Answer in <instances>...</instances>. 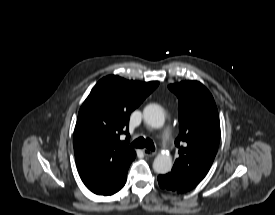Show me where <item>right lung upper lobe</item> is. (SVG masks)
Here are the masks:
<instances>
[{"instance_id": "cb5924a9", "label": "right lung upper lobe", "mask_w": 275, "mask_h": 215, "mask_svg": "<svg viewBox=\"0 0 275 215\" xmlns=\"http://www.w3.org/2000/svg\"><path fill=\"white\" fill-rule=\"evenodd\" d=\"M158 84L110 75L94 86L80 108L74 130L75 161L82 181L134 160V149L119 137L128 135L130 113Z\"/></svg>"}]
</instances>
